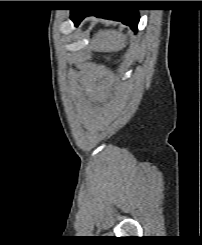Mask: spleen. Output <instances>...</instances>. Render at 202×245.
Listing matches in <instances>:
<instances>
[{"instance_id": "obj_1", "label": "spleen", "mask_w": 202, "mask_h": 245, "mask_svg": "<svg viewBox=\"0 0 202 245\" xmlns=\"http://www.w3.org/2000/svg\"><path fill=\"white\" fill-rule=\"evenodd\" d=\"M126 36L116 30H100L94 37L92 46L96 51L115 52L123 49Z\"/></svg>"}]
</instances>
